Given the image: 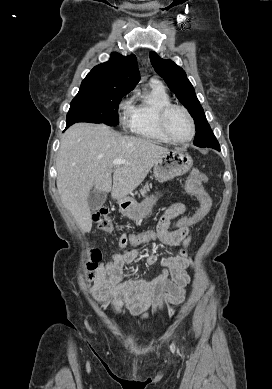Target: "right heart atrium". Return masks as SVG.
Here are the masks:
<instances>
[{
  "instance_id": "1",
  "label": "right heart atrium",
  "mask_w": 272,
  "mask_h": 389,
  "mask_svg": "<svg viewBox=\"0 0 272 389\" xmlns=\"http://www.w3.org/2000/svg\"><path fill=\"white\" fill-rule=\"evenodd\" d=\"M130 107H131V105H130V100L129 99H124L119 104V109L122 112L129 111Z\"/></svg>"
}]
</instances>
